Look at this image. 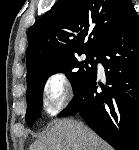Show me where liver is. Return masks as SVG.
<instances>
[{
  "label": "liver",
  "mask_w": 139,
  "mask_h": 150,
  "mask_svg": "<svg viewBox=\"0 0 139 150\" xmlns=\"http://www.w3.org/2000/svg\"><path fill=\"white\" fill-rule=\"evenodd\" d=\"M30 150H111V147L82 123L61 119L54 121Z\"/></svg>",
  "instance_id": "6515ba94"
}]
</instances>
